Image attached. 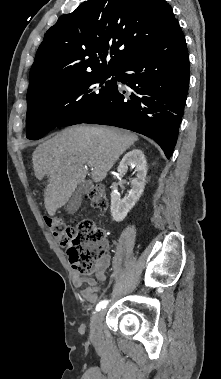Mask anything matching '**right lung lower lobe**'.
Segmentation results:
<instances>
[{"instance_id":"right-lung-lower-lobe-1","label":"right lung lower lobe","mask_w":221,"mask_h":379,"mask_svg":"<svg viewBox=\"0 0 221 379\" xmlns=\"http://www.w3.org/2000/svg\"><path fill=\"white\" fill-rule=\"evenodd\" d=\"M189 72L186 41L178 27L116 69V79L128 89L118 88L115 79L105 102L69 125L104 124L138 132L154 139L169 159L184 114Z\"/></svg>"}]
</instances>
